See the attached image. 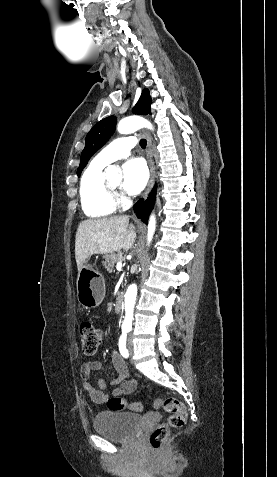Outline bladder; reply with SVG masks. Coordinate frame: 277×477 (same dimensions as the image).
<instances>
[{"instance_id":"31cf9c89","label":"bladder","mask_w":277,"mask_h":477,"mask_svg":"<svg viewBox=\"0 0 277 477\" xmlns=\"http://www.w3.org/2000/svg\"><path fill=\"white\" fill-rule=\"evenodd\" d=\"M142 418L131 412L110 411L98 414L93 420L94 430L111 441H125L138 431Z\"/></svg>"}]
</instances>
